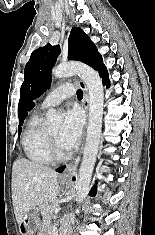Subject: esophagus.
I'll list each match as a JSON object with an SVG mask.
<instances>
[{"mask_svg": "<svg viewBox=\"0 0 155 235\" xmlns=\"http://www.w3.org/2000/svg\"><path fill=\"white\" fill-rule=\"evenodd\" d=\"M83 107L86 113V116L88 117V112H89V96L87 91H84V95H83ZM85 135V134H84ZM82 150H83V145L80 148V151L78 153V155L74 158L73 161H71L69 164H67L64 172L62 173V175L60 176V180L63 182H70L72 179V176L78 166V163L80 161V157L82 154Z\"/></svg>", "mask_w": 155, "mask_h": 235, "instance_id": "34e87169", "label": "esophagus"}]
</instances>
